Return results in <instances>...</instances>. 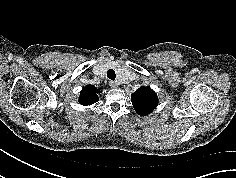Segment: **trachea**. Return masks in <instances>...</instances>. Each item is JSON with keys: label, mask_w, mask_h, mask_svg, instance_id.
<instances>
[{"label": "trachea", "mask_w": 236, "mask_h": 178, "mask_svg": "<svg viewBox=\"0 0 236 178\" xmlns=\"http://www.w3.org/2000/svg\"><path fill=\"white\" fill-rule=\"evenodd\" d=\"M107 77L111 80H115L116 74L113 69H109L107 72Z\"/></svg>", "instance_id": "3493384b"}]
</instances>
